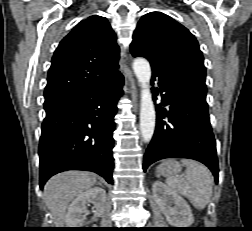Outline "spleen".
I'll list each match as a JSON object with an SVG mask.
<instances>
[{
	"label": "spleen",
	"mask_w": 252,
	"mask_h": 231,
	"mask_svg": "<svg viewBox=\"0 0 252 231\" xmlns=\"http://www.w3.org/2000/svg\"><path fill=\"white\" fill-rule=\"evenodd\" d=\"M181 162L186 165L184 179L169 176L166 183L171 190L188 198L196 209L202 210L212 196V175L206 166L195 160L182 159Z\"/></svg>",
	"instance_id": "spleen-1"
}]
</instances>
